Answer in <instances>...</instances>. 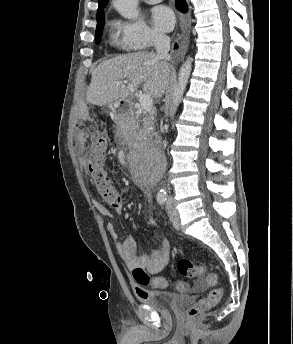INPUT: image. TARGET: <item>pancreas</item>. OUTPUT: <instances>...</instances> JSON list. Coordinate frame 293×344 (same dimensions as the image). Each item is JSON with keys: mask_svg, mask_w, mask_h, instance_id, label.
I'll list each match as a JSON object with an SVG mask.
<instances>
[{"mask_svg": "<svg viewBox=\"0 0 293 344\" xmlns=\"http://www.w3.org/2000/svg\"><path fill=\"white\" fill-rule=\"evenodd\" d=\"M154 117L152 114L135 113L134 118L130 121L127 128L133 134L149 133V128L153 127Z\"/></svg>", "mask_w": 293, "mask_h": 344, "instance_id": "cf45deb5", "label": "pancreas"}]
</instances>
